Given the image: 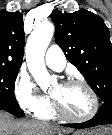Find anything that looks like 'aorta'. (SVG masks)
Instances as JSON below:
<instances>
[{
	"label": "aorta",
	"mask_w": 112,
	"mask_h": 135,
	"mask_svg": "<svg viewBox=\"0 0 112 135\" xmlns=\"http://www.w3.org/2000/svg\"><path fill=\"white\" fill-rule=\"evenodd\" d=\"M54 34V25L45 22L34 28L26 45V60L29 72L41 89H47L54 79L49 75L44 62L45 52Z\"/></svg>",
	"instance_id": "aorta-1"
}]
</instances>
